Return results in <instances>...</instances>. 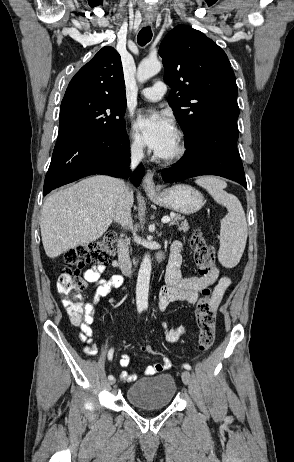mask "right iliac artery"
I'll use <instances>...</instances> for the list:
<instances>
[{
    "mask_svg": "<svg viewBox=\"0 0 294 462\" xmlns=\"http://www.w3.org/2000/svg\"><path fill=\"white\" fill-rule=\"evenodd\" d=\"M138 312L140 313V312H141V309H139ZM112 356H113V349H111V350L109 351V353H108V358L111 360V359H112ZM108 379H109V380L114 379L113 375H109V376H108Z\"/></svg>",
    "mask_w": 294,
    "mask_h": 462,
    "instance_id": "right-iliac-artery-1",
    "label": "right iliac artery"
}]
</instances>
